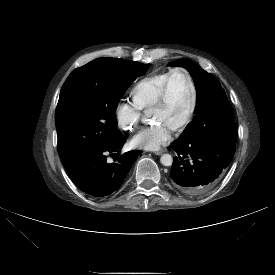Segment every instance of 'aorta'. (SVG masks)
Returning a JSON list of instances; mask_svg holds the SVG:
<instances>
[{
    "label": "aorta",
    "mask_w": 275,
    "mask_h": 275,
    "mask_svg": "<svg viewBox=\"0 0 275 275\" xmlns=\"http://www.w3.org/2000/svg\"><path fill=\"white\" fill-rule=\"evenodd\" d=\"M160 162L164 166H171L173 163V158L170 154H163L160 158Z\"/></svg>",
    "instance_id": "1"
}]
</instances>
